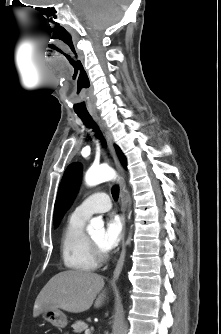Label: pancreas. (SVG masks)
<instances>
[{
    "mask_svg": "<svg viewBox=\"0 0 221 334\" xmlns=\"http://www.w3.org/2000/svg\"><path fill=\"white\" fill-rule=\"evenodd\" d=\"M72 328L74 329L75 333H82L83 331L88 329V325L83 321H76Z\"/></svg>",
    "mask_w": 221,
    "mask_h": 334,
    "instance_id": "obj_1",
    "label": "pancreas"
}]
</instances>
